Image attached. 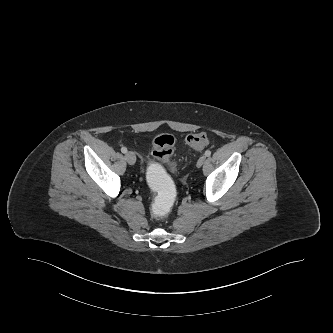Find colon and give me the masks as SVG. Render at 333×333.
<instances>
[{"label": "colon", "instance_id": "1", "mask_svg": "<svg viewBox=\"0 0 333 333\" xmlns=\"http://www.w3.org/2000/svg\"><path fill=\"white\" fill-rule=\"evenodd\" d=\"M186 142L194 149H203L207 145V136L204 133H192L186 137ZM175 138L170 134H160L153 139L152 155L155 159L169 164L175 170L173 162ZM145 181L150 187L154 188V198L149 219L154 224H160L165 216L170 212L173 204L175 186L174 179L166 166L151 163L148 165Z\"/></svg>", "mask_w": 333, "mask_h": 333}]
</instances>
